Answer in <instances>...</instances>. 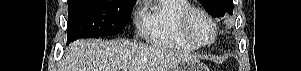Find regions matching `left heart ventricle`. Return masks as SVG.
<instances>
[{"instance_id": "left-heart-ventricle-1", "label": "left heart ventricle", "mask_w": 301, "mask_h": 71, "mask_svg": "<svg viewBox=\"0 0 301 71\" xmlns=\"http://www.w3.org/2000/svg\"><path fill=\"white\" fill-rule=\"evenodd\" d=\"M191 29L195 38L202 42H209L213 37V28L202 16L195 15L191 22Z\"/></svg>"}]
</instances>
